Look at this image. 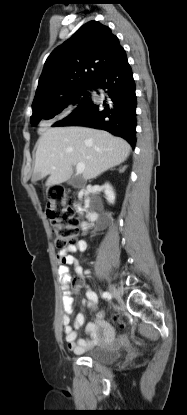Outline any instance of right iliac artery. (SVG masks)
I'll return each mask as SVG.
<instances>
[{"label": "right iliac artery", "mask_w": 187, "mask_h": 415, "mask_svg": "<svg viewBox=\"0 0 187 415\" xmlns=\"http://www.w3.org/2000/svg\"><path fill=\"white\" fill-rule=\"evenodd\" d=\"M102 297L103 298H109L110 297V294L108 292H103L102 293Z\"/></svg>", "instance_id": "right-iliac-artery-1"}]
</instances>
